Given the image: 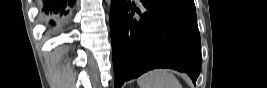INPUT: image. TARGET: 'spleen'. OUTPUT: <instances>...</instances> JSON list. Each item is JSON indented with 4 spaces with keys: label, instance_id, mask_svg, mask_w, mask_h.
Listing matches in <instances>:
<instances>
[{
    "label": "spleen",
    "instance_id": "1",
    "mask_svg": "<svg viewBox=\"0 0 267 88\" xmlns=\"http://www.w3.org/2000/svg\"><path fill=\"white\" fill-rule=\"evenodd\" d=\"M139 88H182L179 80L168 69H154L137 79Z\"/></svg>",
    "mask_w": 267,
    "mask_h": 88
}]
</instances>
